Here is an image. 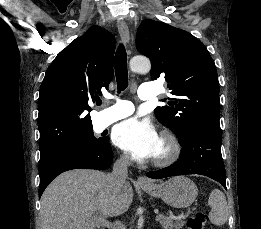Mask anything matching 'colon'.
Masks as SVG:
<instances>
[{"label": "colon", "instance_id": "colon-1", "mask_svg": "<svg viewBox=\"0 0 261 229\" xmlns=\"http://www.w3.org/2000/svg\"><path fill=\"white\" fill-rule=\"evenodd\" d=\"M208 215L204 211H197L192 214L186 222V229H206Z\"/></svg>", "mask_w": 261, "mask_h": 229}]
</instances>
